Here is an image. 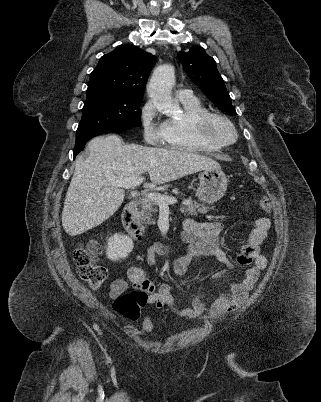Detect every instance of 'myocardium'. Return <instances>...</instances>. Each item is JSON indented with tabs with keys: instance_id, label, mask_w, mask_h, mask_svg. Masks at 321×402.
<instances>
[{
	"instance_id": "f54148a6",
	"label": "myocardium",
	"mask_w": 321,
	"mask_h": 402,
	"mask_svg": "<svg viewBox=\"0 0 321 402\" xmlns=\"http://www.w3.org/2000/svg\"><path fill=\"white\" fill-rule=\"evenodd\" d=\"M215 120H220L224 122L231 129L233 135L231 140H221L212 134L211 125ZM195 128L198 135L203 141L217 148L228 147L235 143L238 138L236 127L232 123V121L225 115L218 112L207 111L198 116L195 120Z\"/></svg>"
}]
</instances>
